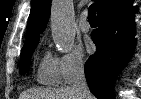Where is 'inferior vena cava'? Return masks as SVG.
<instances>
[{
  "mask_svg": "<svg viewBox=\"0 0 141 99\" xmlns=\"http://www.w3.org/2000/svg\"><path fill=\"white\" fill-rule=\"evenodd\" d=\"M72 87L79 93L80 99H93L86 82L84 65L82 63L75 64L73 67Z\"/></svg>",
  "mask_w": 141,
  "mask_h": 99,
  "instance_id": "inferior-vena-cava-1",
  "label": "inferior vena cava"
}]
</instances>
